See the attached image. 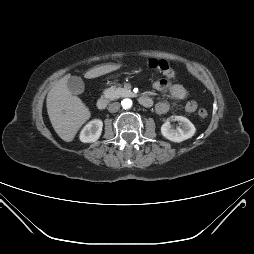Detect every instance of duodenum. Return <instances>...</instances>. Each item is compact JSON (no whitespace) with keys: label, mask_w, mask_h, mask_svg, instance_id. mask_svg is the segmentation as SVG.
<instances>
[{"label":"duodenum","mask_w":254,"mask_h":254,"mask_svg":"<svg viewBox=\"0 0 254 254\" xmlns=\"http://www.w3.org/2000/svg\"><path fill=\"white\" fill-rule=\"evenodd\" d=\"M139 103L144 107H151L153 104L152 99L148 96L139 97ZM96 105L99 110H104L108 105V99L106 97H101L97 100Z\"/></svg>","instance_id":"1"}]
</instances>
